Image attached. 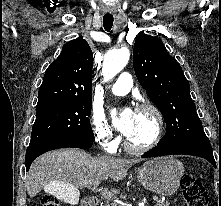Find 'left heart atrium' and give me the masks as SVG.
I'll return each mask as SVG.
<instances>
[{
  "instance_id": "obj_1",
  "label": "left heart atrium",
  "mask_w": 221,
  "mask_h": 206,
  "mask_svg": "<svg viewBox=\"0 0 221 206\" xmlns=\"http://www.w3.org/2000/svg\"><path fill=\"white\" fill-rule=\"evenodd\" d=\"M113 114L115 127L123 135L129 136L133 128L135 112L130 108H126L120 113L114 112Z\"/></svg>"
}]
</instances>
